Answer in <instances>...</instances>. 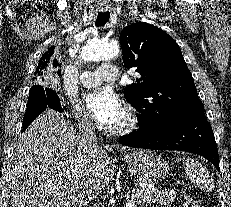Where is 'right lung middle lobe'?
<instances>
[{
	"label": "right lung middle lobe",
	"mask_w": 231,
	"mask_h": 207,
	"mask_svg": "<svg viewBox=\"0 0 231 207\" xmlns=\"http://www.w3.org/2000/svg\"><path fill=\"white\" fill-rule=\"evenodd\" d=\"M44 87L43 86H40V85H35L33 87H31L30 91H29V99H28V103L31 102L34 97H35V94L38 90H41L43 89Z\"/></svg>",
	"instance_id": "obj_1"
}]
</instances>
